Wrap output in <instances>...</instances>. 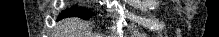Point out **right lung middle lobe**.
I'll use <instances>...</instances> for the list:
<instances>
[{
    "label": "right lung middle lobe",
    "mask_w": 219,
    "mask_h": 37,
    "mask_svg": "<svg viewBox=\"0 0 219 37\" xmlns=\"http://www.w3.org/2000/svg\"><path fill=\"white\" fill-rule=\"evenodd\" d=\"M93 13L90 10L82 7H72L62 12L61 17L77 16L83 19H90Z\"/></svg>",
    "instance_id": "dd1d6c3e"
}]
</instances>
